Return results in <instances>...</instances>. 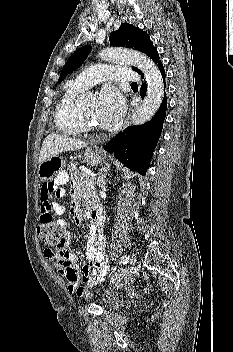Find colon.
<instances>
[{"instance_id": "5ec220e1", "label": "colon", "mask_w": 233, "mask_h": 352, "mask_svg": "<svg viewBox=\"0 0 233 352\" xmlns=\"http://www.w3.org/2000/svg\"><path fill=\"white\" fill-rule=\"evenodd\" d=\"M39 237L48 245L58 246L64 243V232L56 225L51 223H41L38 228ZM147 291H150L147 288ZM75 293L79 297L89 298L91 293L84 287H77Z\"/></svg>"}]
</instances>
